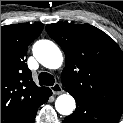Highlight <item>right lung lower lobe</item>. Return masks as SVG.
<instances>
[{
	"instance_id": "obj_1",
	"label": "right lung lower lobe",
	"mask_w": 123,
	"mask_h": 123,
	"mask_svg": "<svg viewBox=\"0 0 123 123\" xmlns=\"http://www.w3.org/2000/svg\"><path fill=\"white\" fill-rule=\"evenodd\" d=\"M52 95V91L49 89L48 92L46 93L43 101L41 104L45 103L48 98ZM38 109V108H37ZM37 109L35 111H33L24 121H22L21 123H34L35 117H36V112Z\"/></svg>"
}]
</instances>
